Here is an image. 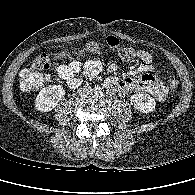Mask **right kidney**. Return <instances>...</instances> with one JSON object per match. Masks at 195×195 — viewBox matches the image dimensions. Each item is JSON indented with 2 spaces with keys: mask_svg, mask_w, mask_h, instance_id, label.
<instances>
[{
  "mask_svg": "<svg viewBox=\"0 0 195 195\" xmlns=\"http://www.w3.org/2000/svg\"><path fill=\"white\" fill-rule=\"evenodd\" d=\"M65 95L61 85H49L41 89L35 100V108L40 112L51 111Z\"/></svg>",
  "mask_w": 195,
  "mask_h": 195,
  "instance_id": "obj_1",
  "label": "right kidney"
}]
</instances>
